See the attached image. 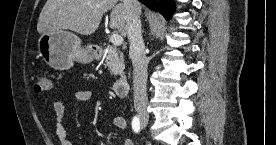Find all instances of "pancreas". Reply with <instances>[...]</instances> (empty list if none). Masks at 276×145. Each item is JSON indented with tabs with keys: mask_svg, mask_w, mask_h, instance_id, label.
<instances>
[{
	"mask_svg": "<svg viewBox=\"0 0 276 145\" xmlns=\"http://www.w3.org/2000/svg\"><path fill=\"white\" fill-rule=\"evenodd\" d=\"M101 58L105 60V66L112 75H118L125 67L123 53L116 47L110 46L105 49Z\"/></svg>",
	"mask_w": 276,
	"mask_h": 145,
	"instance_id": "obj_1",
	"label": "pancreas"
}]
</instances>
